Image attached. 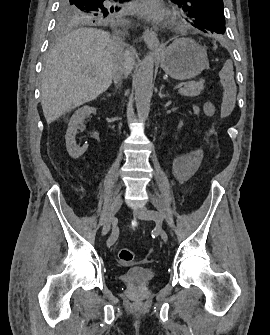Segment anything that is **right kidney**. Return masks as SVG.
<instances>
[{
	"instance_id": "right-kidney-1",
	"label": "right kidney",
	"mask_w": 270,
	"mask_h": 335,
	"mask_svg": "<svg viewBox=\"0 0 270 335\" xmlns=\"http://www.w3.org/2000/svg\"><path fill=\"white\" fill-rule=\"evenodd\" d=\"M96 108H89V106H83V108H79V110H76L75 114H73L69 124H68V130L66 132L65 140H66V146H67V152L71 158H74V160H77V158H80L84 152H86L88 148V144H84L82 148H79V146H76L75 142V136L77 134L78 128H81L80 124L84 122L85 118H88L90 114H95Z\"/></svg>"
}]
</instances>
